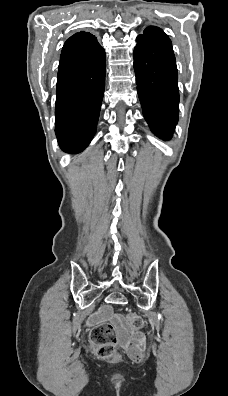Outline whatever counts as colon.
<instances>
[{
    "mask_svg": "<svg viewBox=\"0 0 228 396\" xmlns=\"http://www.w3.org/2000/svg\"><path fill=\"white\" fill-rule=\"evenodd\" d=\"M123 322L131 332H136L143 326L141 317L133 313L126 314ZM90 344L92 351L97 356H111L117 345V335L113 325L106 322L95 326L90 333Z\"/></svg>",
    "mask_w": 228,
    "mask_h": 396,
    "instance_id": "obj_1",
    "label": "colon"
}]
</instances>
